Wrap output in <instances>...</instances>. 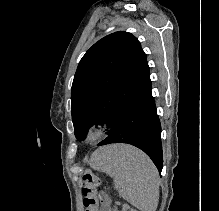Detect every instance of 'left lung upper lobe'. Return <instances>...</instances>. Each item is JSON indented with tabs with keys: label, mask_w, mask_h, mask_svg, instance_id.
I'll return each instance as SVG.
<instances>
[{
	"label": "left lung upper lobe",
	"mask_w": 219,
	"mask_h": 211,
	"mask_svg": "<svg viewBox=\"0 0 219 211\" xmlns=\"http://www.w3.org/2000/svg\"><path fill=\"white\" fill-rule=\"evenodd\" d=\"M150 82L146 54L132 34L119 31L96 42L82 57L71 88L76 138L84 140L98 124H106L109 135Z\"/></svg>",
	"instance_id": "5c2ea615"
}]
</instances>
